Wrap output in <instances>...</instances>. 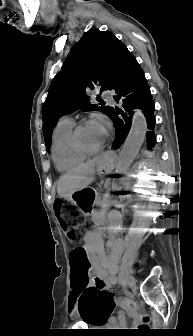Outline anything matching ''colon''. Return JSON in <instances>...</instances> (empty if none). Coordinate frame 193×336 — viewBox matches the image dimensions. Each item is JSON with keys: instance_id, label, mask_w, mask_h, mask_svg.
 <instances>
[{"instance_id": "1", "label": "colon", "mask_w": 193, "mask_h": 336, "mask_svg": "<svg viewBox=\"0 0 193 336\" xmlns=\"http://www.w3.org/2000/svg\"><path fill=\"white\" fill-rule=\"evenodd\" d=\"M58 219L68 238L75 241L78 238L77 225L81 220L79 212L67 201L61 200L56 203ZM71 271L75 279L73 290L75 291V300L78 303V310L82 316L89 315V304L95 297H101L103 300L109 299V294L103 288V283L99 280L96 284L88 287V263L86 261L84 251L79 248L72 252L70 257ZM124 305L134 312L139 311L136 303L124 301ZM143 324L138 330H144L148 327L150 316L146 313L142 314Z\"/></svg>"}]
</instances>
